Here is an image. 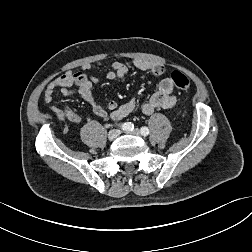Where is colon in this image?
I'll return each mask as SVG.
<instances>
[{
	"instance_id": "1",
	"label": "colon",
	"mask_w": 252,
	"mask_h": 252,
	"mask_svg": "<svg viewBox=\"0 0 252 252\" xmlns=\"http://www.w3.org/2000/svg\"><path fill=\"white\" fill-rule=\"evenodd\" d=\"M170 78L178 89L180 90L189 89L190 81L183 73L179 71H174L171 73Z\"/></svg>"
}]
</instances>
